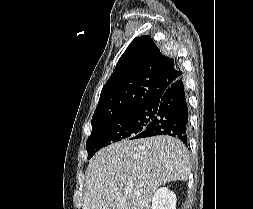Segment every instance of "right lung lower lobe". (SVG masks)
I'll use <instances>...</instances> for the list:
<instances>
[{"instance_id":"1","label":"right lung lower lobe","mask_w":253,"mask_h":209,"mask_svg":"<svg viewBox=\"0 0 253 209\" xmlns=\"http://www.w3.org/2000/svg\"><path fill=\"white\" fill-rule=\"evenodd\" d=\"M149 106L155 111V117L136 139L169 135L187 144L188 105L182 77L170 84L162 96Z\"/></svg>"}]
</instances>
